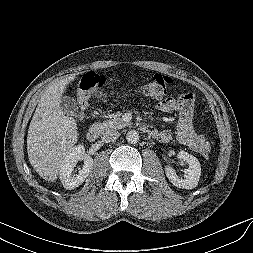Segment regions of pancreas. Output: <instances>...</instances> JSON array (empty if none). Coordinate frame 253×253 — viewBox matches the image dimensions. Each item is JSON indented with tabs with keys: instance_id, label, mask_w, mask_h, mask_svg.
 <instances>
[{
	"instance_id": "obj_1",
	"label": "pancreas",
	"mask_w": 253,
	"mask_h": 253,
	"mask_svg": "<svg viewBox=\"0 0 253 253\" xmlns=\"http://www.w3.org/2000/svg\"><path fill=\"white\" fill-rule=\"evenodd\" d=\"M127 125H129V123L124 122L119 117L110 118L108 120H105L104 122L97 123V126L99 127V131L102 135L109 133L113 130L125 127Z\"/></svg>"
}]
</instances>
